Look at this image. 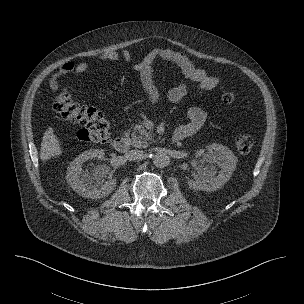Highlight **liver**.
Segmentation results:
<instances>
[{"instance_id": "6515ba94", "label": "liver", "mask_w": 304, "mask_h": 304, "mask_svg": "<svg viewBox=\"0 0 304 304\" xmlns=\"http://www.w3.org/2000/svg\"><path fill=\"white\" fill-rule=\"evenodd\" d=\"M61 143L57 136L54 134L52 127H49L45 131L41 143L40 149V159L43 161H48L51 157L59 156L62 154V149L60 147Z\"/></svg>"}]
</instances>
